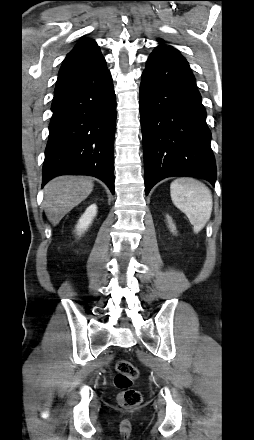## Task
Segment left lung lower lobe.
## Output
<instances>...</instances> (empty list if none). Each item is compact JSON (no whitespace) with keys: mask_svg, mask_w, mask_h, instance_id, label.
<instances>
[{"mask_svg":"<svg viewBox=\"0 0 254 440\" xmlns=\"http://www.w3.org/2000/svg\"><path fill=\"white\" fill-rule=\"evenodd\" d=\"M145 192L171 176L216 180L206 111L185 58L157 49L149 56L140 86Z\"/></svg>","mask_w":254,"mask_h":440,"instance_id":"obj_1","label":"left lung lower lobe"}]
</instances>
